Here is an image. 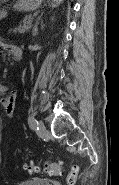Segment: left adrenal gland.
I'll return each mask as SVG.
<instances>
[{
    "label": "left adrenal gland",
    "instance_id": "a2214340",
    "mask_svg": "<svg viewBox=\"0 0 119 185\" xmlns=\"http://www.w3.org/2000/svg\"><path fill=\"white\" fill-rule=\"evenodd\" d=\"M42 15H43V12H42L41 15L37 18V21H36L35 26H34L33 31H32L33 36H36L37 33H38V24H39V21H40Z\"/></svg>",
    "mask_w": 119,
    "mask_h": 185
}]
</instances>
